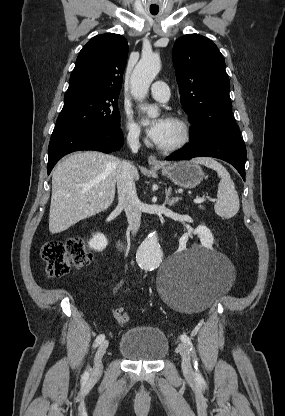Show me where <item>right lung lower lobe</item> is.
I'll use <instances>...</instances> for the list:
<instances>
[{"instance_id":"obj_1","label":"right lung lower lobe","mask_w":285,"mask_h":416,"mask_svg":"<svg viewBox=\"0 0 285 416\" xmlns=\"http://www.w3.org/2000/svg\"><path fill=\"white\" fill-rule=\"evenodd\" d=\"M122 143L123 134L120 129L54 128L48 147V174L66 154L79 150L110 153L120 149Z\"/></svg>"}]
</instances>
